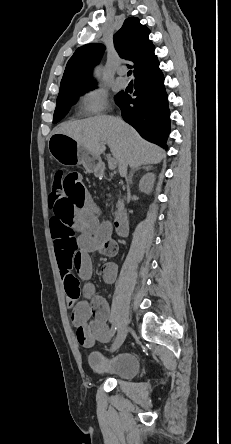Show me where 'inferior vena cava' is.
<instances>
[{"label":"inferior vena cava","mask_w":231,"mask_h":444,"mask_svg":"<svg viewBox=\"0 0 231 444\" xmlns=\"http://www.w3.org/2000/svg\"><path fill=\"white\" fill-rule=\"evenodd\" d=\"M119 172H120L121 176L125 177L127 184H129L128 183V178L126 177V175H127V165H123L122 167H120ZM124 201L126 203H128L130 200L128 198H126ZM124 209L127 211L129 208L126 206Z\"/></svg>","instance_id":"inferior-vena-cava-1"}]
</instances>
